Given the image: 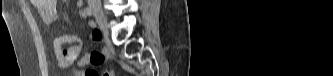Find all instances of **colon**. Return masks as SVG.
Segmentation results:
<instances>
[{
  "label": "colon",
  "instance_id": "1",
  "mask_svg": "<svg viewBox=\"0 0 333 76\" xmlns=\"http://www.w3.org/2000/svg\"><path fill=\"white\" fill-rule=\"evenodd\" d=\"M103 75H104V76H113V73L107 71V72H105ZM84 76H100V74L97 73V72H95V71H93V70H91V69H86V70L84 71Z\"/></svg>",
  "mask_w": 333,
  "mask_h": 76
}]
</instances>
